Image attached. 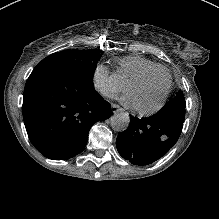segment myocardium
<instances>
[{"mask_svg": "<svg viewBox=\"0 0 219 219\" xmlns=\"http://www.w3.org/2000/svg\"><path fill=\"white\" fill-rule=\"evenodd\" d=\"M163 70H165L167 72L168 82L163 90L161 97L151 105H144L141 103H136V105H137L136 108H138L139 110H141V111H154L164 104V102L168 98V95L170 94V90L172 87V74H171L169 69L165 68L164 66H159L158 68H156L152 71H149V72H146V73L140 75L134 82H132L128 86L127 94L132 96V92L137 85L141 84L142 82H144L145 80H147L151 77H154L155 75H158Z\"/></svg>", "mask_w": 219, "mask_h": 219, "instance_id": "myocardium-1", "label": "myocardium"}]
</instances>
